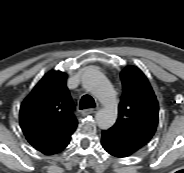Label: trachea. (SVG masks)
<instances>
[{"mask_svg": "<svg viewBox=\"0 0 184 173\" xmlns=\"http://www.w3.org/2000/svg\"><path fill=\"white\" fill-rule=\"evenodd\" d=\"M95 101L90 95H84L82 96L80 100V109H87V108H94L95 107Z\"/></svg>", "mask_w": 184, "mask_h": 173, "instance_id": "1", "label": "trachea"}]
</instances>
